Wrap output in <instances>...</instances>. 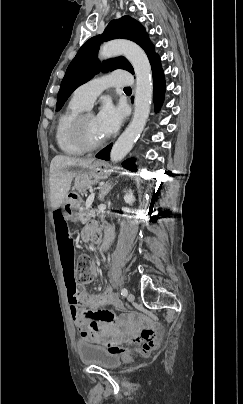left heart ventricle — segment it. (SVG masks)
<instances>
[{
    "instance_id": "1",
    "label": "left heart ventricle",
    "mask_w": 243,
    "mask_h": 404,
    "mask_svg": "<svg viewBox=\"0 0 243 404\" xmlns=\"http://www.w3.org/2000/svg\"><path fill=\"white\" fill-rule=\"evenodd\" d=\"M82 133L84 137L90 142H98L102 139L98 135L96 124H95V116H88L82 125Z\"/></svg>"
}]
</instances>
